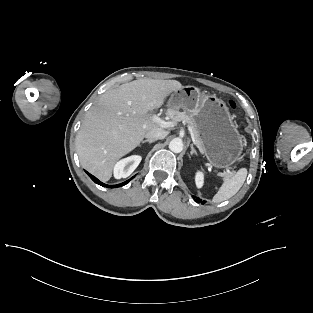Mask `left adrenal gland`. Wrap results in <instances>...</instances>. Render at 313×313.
Returning a JSON list of instances; mask_svg holds the SVG:
<instances>
[{"label": "left adrenal gland", "instance_id": "obj_1", "mask_svg": "<svg viewBox=\"0 0 313 313\" xmlns=\"http://www.w3.org/2000/svg\"><path fill=\"white\" fill-rule=\"evenodd\" d=\"M190 147H191L190 155H193V154L197 155V152H196V150H195L193 144H191Z\"/></svg>", "mask_w": 313, "mask_h": 313}]
</instances>
